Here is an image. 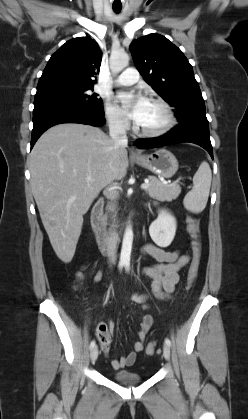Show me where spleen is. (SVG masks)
I'll use <instances>...</instances> for the list:
<instances>
[{"instance_id":"3e777b00","label":"spleen","mask_w":248,"mask_h":419,"mask_svg":"<svg viewBox=\"0 0 248 419\" xmlns=\"http://www.w3.org/2000/svg\"><path fill=\"white\" fill-rule=\"evenodd\" d=\"M212 173L209 164L203 161L193 177V188L184 198V207L192 213H200L206 207L210 192Z\"/></svg>"}]
</instances>
